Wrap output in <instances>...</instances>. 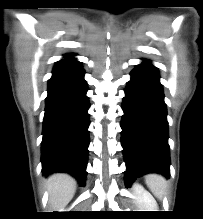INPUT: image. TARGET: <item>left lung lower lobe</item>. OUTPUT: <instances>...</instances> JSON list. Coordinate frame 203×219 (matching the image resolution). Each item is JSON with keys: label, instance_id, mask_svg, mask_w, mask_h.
<instances>
[{"label": "left lung lower lobe", "instance_id": "left-lung-lower-lobe-1", "mask_svg": "<svg viewBox=\"0 0 203 219\" xmlns=\"http://www.w3.org/2000/svg\"><path fill=\"white\" fill-rule=\"evenodd\" d=\"M131 73L122 103L121 144L126 163L125 183L141 175H170L167 109L159 72L144 60Z\"/></svg>", "mask_w": 203, "mask_h": 219}]
</instances>
